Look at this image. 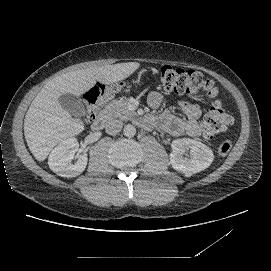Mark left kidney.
Instances as JSON below:
<instances>
[{"label":"left kidney","mask_w":271,"mask_h":271,"mask_svg":"<svg viewBox=\"0 0 271 271\" xmlns=\"http://www.w3.org/2000/svg\"><path fill=\"white\" fill-rule=\"evenodd\" d=\"M170 163L172 167L186 176L198 173L208 168L214 155L205 144L193 139H176L171 144ZM190 151V158L184 157L186 151Z\"/></svg>","instance_id":"5707ae66"}]
</instances>
